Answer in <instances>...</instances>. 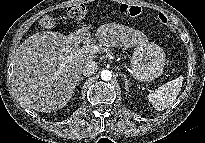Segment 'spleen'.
I'll list each match as a JSON object with an SVG mask.
<instances>
[{"mask_svg":"<svg viewBox=\"0 0 205 143\" xmlns=\"http://www.w3.org/2000/svg\"><path fill=\"white\" fill-rule=\"evenodd\" d=\"M183 84V76L167 82L148 95V100L158 111H163L176 100Z\"/></svg>","mask_w":205,"mask_h":143,"instance_id":"spleen-1","label":"spleen"}]
</instances>
